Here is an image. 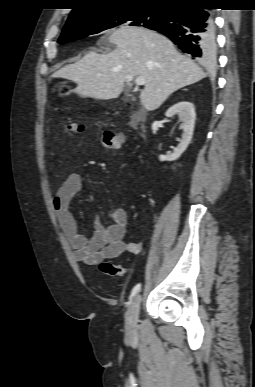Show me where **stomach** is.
<instances>
[{
  "label": "stomach",
  "instance_id": "obj_1",
  "mask_svg": "<svg viewBox=\"0 0 255 387\" xmlns=\"http://www.w3.org/2000/svg\"><path fill=\"white\" fill-rule=\"evenodd\" d=\"M63 91L65 92L64 89H60V93H61V94H65V93H63Z\"/></svg>",
  "mask_w": 255,
  "mask_h": 387
}]
</instances>
